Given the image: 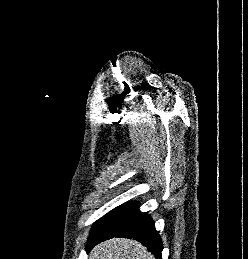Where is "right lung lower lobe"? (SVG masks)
<instances>
[{"label": "right lung lower lobe", "mask_w": 248, "mask_h": 259, "mask_svg": "<svg viewBox=\"0 0 248 259\" xmlns=\"http://www.w3.org/2000/svg\"><path fill=\"white\" fill-rule=\"evenodd\" d=\"M113 237L133 238L146 246L157 259H162V241L154 222L149 215L139 211V204L135 201L126 202L103 217L91 232L86 251Z\"/></svg>", "instance_id": "98d812e1"}]
</instances>
